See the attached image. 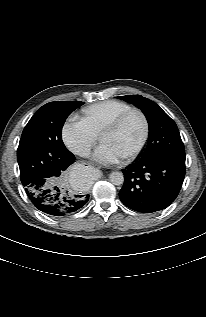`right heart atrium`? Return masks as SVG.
I'll return each mask as SVG.
<instances>
[{
  "instance_id": "1",
  "label": "right heart atrium",
  "mask_w": 206,
  "mask_h": 317,
  "mask_svg": "<svg viewBox=\"0 0 206 317\" xmlns=\"http://www.w3.org/2000/svg\"><path fill=\"white\" fill-rule=\"evenodd\" d=\"M64 144L75 154L86 156L97 141V136L87 124L76 117H69L62 126Z\"/></svg>"
}]
</instances>
